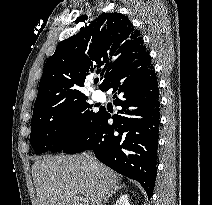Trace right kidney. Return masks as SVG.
<instances>
[{
  "instance_id": "1",
  "label": "right kidney",
  "mask_w": 212,
  "mask_h": 205,
  "mask_svg": "<svg viewBox=\"0 0 212 205\" xmlns=\"http://www.w3.org/2000/svg\"><path fill=\"white\" fill-rule=\"evenodd\" d=\"M115 205H130L128 195L124 194L116 201Z\"/></svg>"
}]
</instances>
